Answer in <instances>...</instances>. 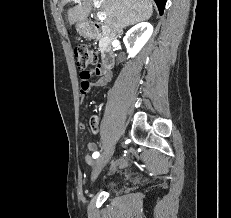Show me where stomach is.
I'll return each mask as SVG.
<instances>
[{
  "instance_id": "stomach-1",
  "label": "stomach",
  "mask_w": 231,
  "mask_h": 218,
  "mask_svg": "<svg viewBox=\"0 0 231 218\" xmlns=\"http://www.w3.org/2000/svg\"><path fill=\"white\" fill-rule=\"evenodd\" d=\"M76 29L81 35H86L87 34V27L85 23H78L76 25Z\"/></svg>"
}]
</instances>
